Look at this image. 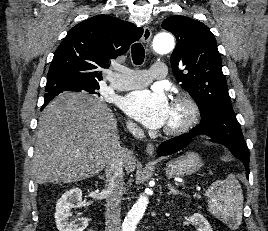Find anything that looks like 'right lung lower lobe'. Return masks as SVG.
<instances>
[{
	"instance_id": "obj_1",
	"label": "right lung lower lobe",
	"mask_w": 268,
	"mask_h": 231,
	"mask_svg": "<svg viewBox=\"0 0 268 231\" xmlns=\"http://www.w3.org/2000/svg\"><path fill=\"white\" fill-rule=\"evenodd\" d=\"M47 104H44L43 106H42V109L46 106Z\"/></svg>"
}]
</instances>
